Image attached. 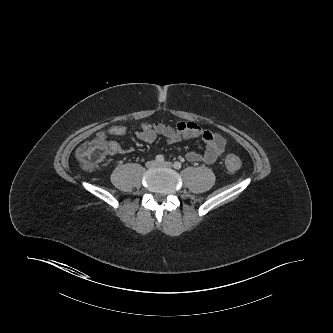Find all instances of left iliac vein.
I'll list each match as a JSON object with an SVG mask.
<instances>
[{"instance_id":"4c4485c4","label":"left iliac vein","mask_w":333,"mask_h":333,"mask_svg":"<svg viewBox=\"0 0 333 333\" xmlns=\"http://www.w3.org/2000/svg\"><path fill=\"white\" fill-rule=\"evenodd\" d=\"M158 166L171 168L173 165L171 162L159 163Z\"/></svg>"}]
</instances>
